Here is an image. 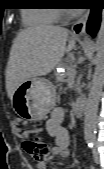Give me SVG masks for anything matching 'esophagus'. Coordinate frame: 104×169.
Segmentation results:
<instances>
[{"mask_svg":"<svg viewBox=\"0 0 104 169\" xmlns=\"http://www.w3.org/2000/svg\"><path fill=\"white\" fill-rule=\"evenodd\" d=\"M89 17V11L85 12L72 26L71 34L79 36L85 32L87 21Z\"/></svg>","mask_w":104,"mask_h":169,"instance_id":"esophagus-1","label":"esophagus"}]
</instances>
